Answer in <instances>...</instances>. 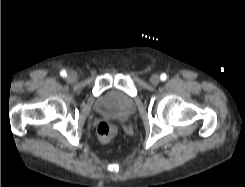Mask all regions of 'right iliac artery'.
Here are the masks:
<instances>
[{
  "mask_svg": "<svg viewBox=\"0 0 245 187\" xmlns=\"http://www.w3.org/2000/svg\"><path fill=\"white\" fill-rule=\"evenodd\" d=\"M60 75H61L62 77H66V76H67V73H66L65 70H62V71L60 72Z\"/></svg>",
  "mask_w": 245,
  "mask_h": 187,
  "instance_id": "1",
  "label": "right iliac artery"
}]
</instances>
